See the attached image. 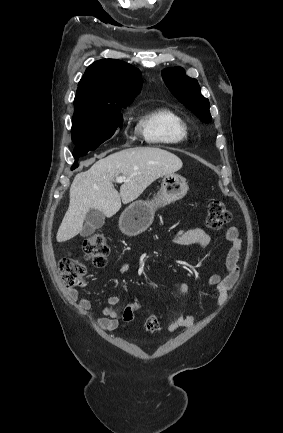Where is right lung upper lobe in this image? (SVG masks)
<instances>
[{"label": "right lung upper lobe", "instance_id": "right-lung-upper-lobe-1", "mask_svg": "<svg viewBox=\"0 0 283 433\" xmlns=\"http://www.w3.org/2000/svg\"><path fill=\"white\" fill-rule=\"evenodd\" d=\"M142 86L141 72L117 59L91 64L78 84L75 110L129 105Z\"/></svg>", "mask_w": 283, "mask_h": 433}]
</instances>
